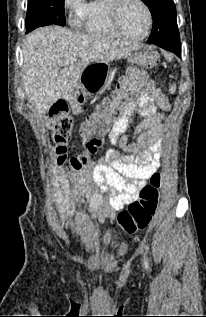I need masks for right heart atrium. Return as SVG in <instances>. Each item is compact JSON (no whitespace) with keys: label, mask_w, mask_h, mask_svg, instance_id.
Returning <instances> with one entry per match:
<instances>
[{"label":"right heart atrium","mask_w":206,"mask_h":317,"mask_svg":"<svg viewBox=\"0 0 206 317\" xmlns=\"http://www.w3.org/2000/svg\"><path fill=\"white\" fill-rule=\"evenodd\" d=\"M63 6L68 13L71 25L79 26L85 14V0H64Z\"/></svg>","instance_id":"right-heart-atrium-1"}]
</instances>
